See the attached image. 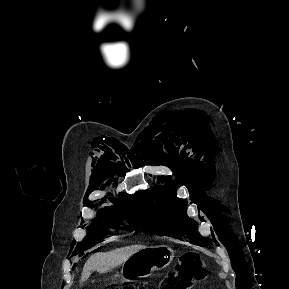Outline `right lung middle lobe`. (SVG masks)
<instances>
[{"mask_svg":"<svg viewBox=\"0 0 289 289\" xmlns=\"http://www.w3.org/2000/svg\"><path fill=\"white\" fill-rule=\"evenodd\" d=\"M123 220H126L127 223L133 225L136 229L139 228L141 220L136 204L122 203L99 211V216L92 220L87 236L76 246L73 255L80 254L101 242L108 234V231L118 229Z\"/></svg>","mask_w":289,"mask_h":289,"instance_id":"1","label":"right lung middle lobe"}]
</instances>
